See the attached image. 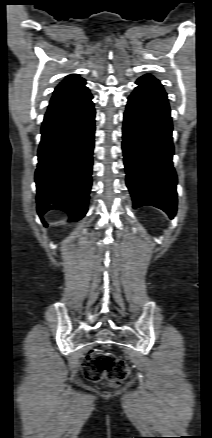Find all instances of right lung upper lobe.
I'll return each mask as SVG.
<instances>
[{
    "label": "right lung upper lobe",
    "instance_id": "obj_1",
    "mask_svg": "<svg viewBox=\"0 0 212 438\" xmlns=\"http://www.w3.org/2000/svg\"><path fill=\"white\" fill-rule=\"evenodd\" d=\"M86 82L77 75L67 76L54 90L50 104L80 99L89 94Z\"/></svg>",
    "mask_w": 212,
    "mask_h": 438
}]
</instances>
